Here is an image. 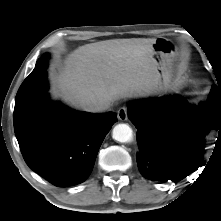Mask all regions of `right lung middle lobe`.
Segmentation results:
<instances>
[{
	"label": "right lung middle lobe",
	"instance_id": "1",
	"mask_svg": "<svg viewBox=\"0 0 221 221\" xmlns=\"http://www.w3.org/2000/svg\"><path fill=\"white\" fill-rule=\"evenodd\" d=\"M47 57L48 56H43L41 59H38L35 68H39L42 66L47 67L48 65ZM31 96H33V94L28 96L30 98L29 100L24 99L18 102L17 108L14 112V122L21 123L29 115L31 106H32L31 104L33 102V100L31 99Z\"/></svg>",
	"mask_w": 221,
	"mask_h": 221
}]
</instances>
